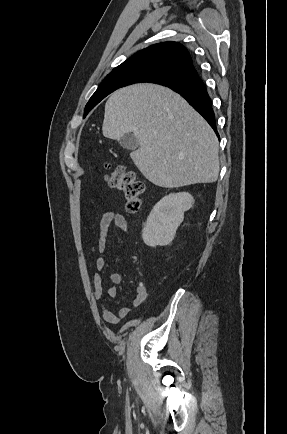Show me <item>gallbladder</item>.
Here are the masks:
<instances>
[{
    "label": "gallbladder",
    "mask_w": 287,
    "mask_h": 434,
    "mask_svg": "<svg viewBox=\"0 0 287 434\" xmlns=\"http://www.w3.org/2000/svg\"><path fill=\"white\" fill-rule=\"evenodd\" d=\"M120 145L127 150H136L139 146L137 138L132 133H127L119 140Z\"/></svg>",
    "instance_id": "obj_1"
}]
</instances>
